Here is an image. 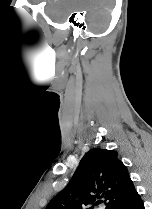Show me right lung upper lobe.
<instances>
[{"instance_id":"right-lung-upper-lobe-1","label":"right lung upper lobe","mask_w":152,"mask_h":209,"mask_svg":"<svg viewBox=\"0 0 152 209\" xmlns=\"http://www.w3.org/2000/svg\"><path fill=\"white\" fill-rule=\"evenodd\" d=\"M134 187L127 167L114 150L91 149L82 158L69 184L45 209H93L104 198L105 209L119 202Z\"/></svg>"}]
</instances>
